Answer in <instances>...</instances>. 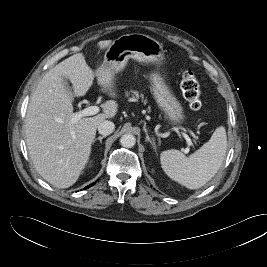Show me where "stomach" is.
<instances>
[{
	"instance_id": "1",
	"label": "stomach",
	"mask_w": 267,
	"mask_h": 267,
	"mask_svg": "<svg viewBox=\"0 0 267 267\" xmlns=\"http://www.w3.org/2000/svg\"><path fill=\"white\" fill-rule=\"evenodd\" d=\"M130 58L145 64H153L161 69L165 55L162 44L157 40L139 33L126 34L114 40L108 47L104 63L116 74L122 71ZM165 78L166 75H162L158 71L150 74L153 96L171 124L179 125L185 120L184 110Z\"/></svg>"
}]
</instances>
